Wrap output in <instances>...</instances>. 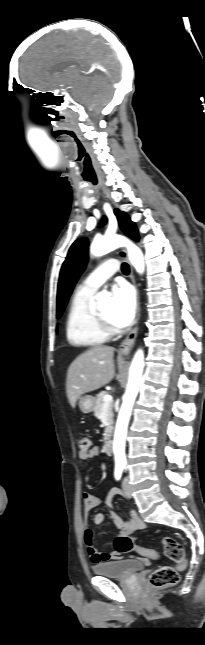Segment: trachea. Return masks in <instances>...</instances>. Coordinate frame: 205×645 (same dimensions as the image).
I'll use <instances>...</instances> for the list:
<instances>
[{
    "instance_id": "1",
    "label": "trachea",
    "mask_w": 205,
    "mask_h": 645,
    "mask_svg": "<svg viewBox=\"0 0 205 645\" xmlns=\"http://www.w3.org/2000/svg\"><path fill=\"white\" fill-rule=\"evenodd\" d=\"M121 269L124 274H128L130 271L129 265L127 263H123Z\"/></svg>"
}]
</instances>
